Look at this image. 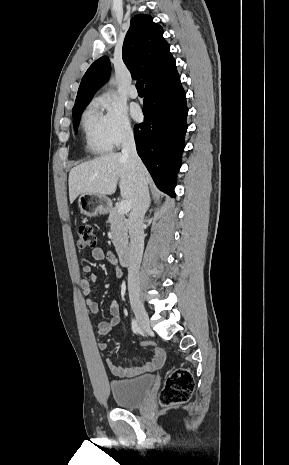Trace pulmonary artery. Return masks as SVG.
Masks as SVG:
<instances>
[{"mask_svg": "<svg viewBox=\"0 0 289 465\" xmlns=\"http://www.w3.org/2000/svg\"><path fill=\"white\" fill-rule=\"evenodd\" d=\"M129 96L131 98H137L138 97V91L134 85H132L129 89Z\"/></svg>", "mask_w": 289, "mask_h": 465, "instance_id": "pulmonary-artery-1", "label": "pulmonary artery"}]
</instances>
